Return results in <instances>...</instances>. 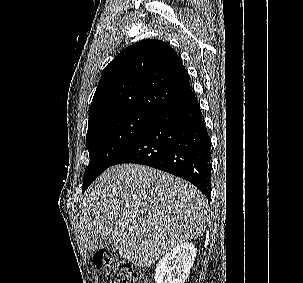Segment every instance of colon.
<instances>
[{
  "instance_id": "1",
  "label": "colon",
  "mask_w": 303,
  "mask_h": 283,
  "mask_svg": "<svg viewBox=\"0 0 303 283\" xmlns=\"http://www.w3.org/2000/svg\"><path fill=\"white\" fill-rule=\"evenodd\" d=\"M93 261L110 283H149L140 271L107 249H97Z\"/></svg>"
}]
</instances>
